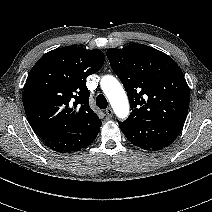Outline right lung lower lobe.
I'll use <instances>...</instances> for the list:
<instances>
[{"label": "right lung lower lobe", "instance_id": "obj_1", "mask_svg": "<svg viewBox=\"0 0 212 212\" xmlns=\"http://www.w3.org/2000/svg\"><path fill=\"white\" fill-rule=\"evenodd\" d=\"M99 131L92 134L65 133L59 136L44 139L43 142L50 149L59 153L79 151L90 145Z\"/></svg>", "mask_w": 212, "mask_h": 212}]
</instances>
